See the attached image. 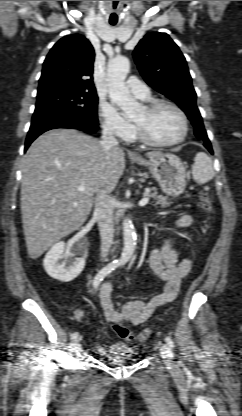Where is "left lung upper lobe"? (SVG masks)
<instances>
[{
  "mask_svg": "<svg viewBox=\"0 0 242 416\" xmlns=\"http://www.w3.org/2000/svg\"><path fill=\"white\" fill-rule=\"evenodd\" d=\"M133 56L144 80L173 100L191 120L195 135L208 141L185 57L169 35L160 32L145 35Z\"/></svg>",
  "mask_w": 242,
  "mask_h": 416,
  "instance_id": "5c2ea615",
  "label": "left lung upper lobe"
}]
</instances>
